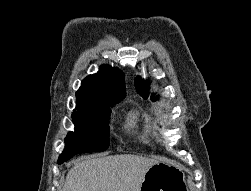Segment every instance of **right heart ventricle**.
Masks as SVG:
<instances>
[{
	"mask_svg": "<svg viewBox=\"0 0 251 191\" xmlns=\"http://www.w3.org/2000/svg\"><path fill=\"white\" fill-rule=\"evenodd\" d=\"M124 128L132 135L143 133V119L138 109L133 108L127 113Z\"/></svg>",
	"mask_w": 251,
	"mask_h": 191,
	"instance_id": "1",
	"label": "right heart ventricle"
}]
</instances>
